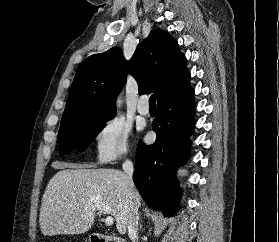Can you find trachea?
<instances>
[{"label": "trachea", "instance_id": "obj_1", "mask_svg": "<svg viewBox=\"0 0 279 242\" xmlns=\"http://www.w3.org/2000/svg\"><path fill=\"white\" fill-rule=\"evenodd\" d=\"M157 94H152L149 98V105L156 106Z\"/></svg>", "mask_w": 279, "mask_h": 242}]
</instances>
